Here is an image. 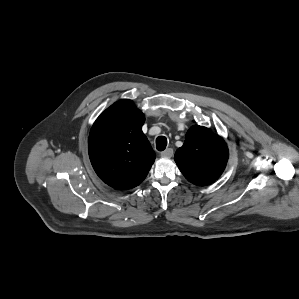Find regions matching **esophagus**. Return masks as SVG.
I'll list each match as a JSON object with an SVG mask.
<instances>
[{
    "label": "esophagus",
    "mask_w": 299,
    "mask_h": 299,
    "mask_svg": "<svg viewBox=\"0 0 299 299\" xmlns=\"http://www.w3.org/2000/svg\"><path fill=\"white\" fill-rule=\"evenodd\" d=\"M174 154V151L172 148H167L166 150H164L163 152H161V157H167V158H171Z\"/></svg>",
    "instance_id": "obj_1"
}]
</instances>
